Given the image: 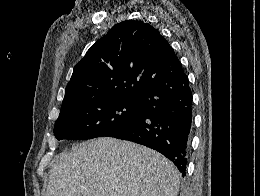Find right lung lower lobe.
<instances>
[{
    "mask_svg": "<svg viewBox=\"0 0 260 196\" xmlns=\"http://www.w3.org/2000/svg\"><path fill=\"white\" fill-rule=\"evenodd\" d=\"M192 92L183 72L138 98L143 118L108 135L157 150L186 175L192 127Z\"/></svg>",
    "mask_w": 260,
    "mask_h": 196,
    "instance_id": "right-lung-lower-lobe-1",
    "label": "right lung lower lobe"
}]
</instances>
